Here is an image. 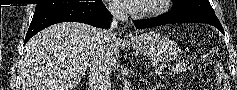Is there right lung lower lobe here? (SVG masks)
Listing matches in <instances>:
<instances>
[{
    "instance_id": "1",
    "label": "right lung lower lobe",
    "mask_w": 237,
    "mask_h": 90,
    "mask_svg": "<svg viewBox=\"0 0 237 90\" xmlns=\"http://www.w3.org/2000/svg\"><path fill=\"white\" fill-rule=\"evenodd\" d=\"M112 16L102 1L69 4L35 12L25 37L24 44L44 28L65 21L86 23L95 27L108 28Z\"/></svg>"
}]
</instances>
